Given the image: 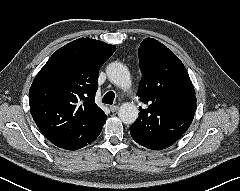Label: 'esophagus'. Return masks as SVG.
<instances>
[{
	"label": "esophagus",
	"mask_w": 240,
	"mask_h": 191,
	"mask_svg": "<svg viewBox=\"0 0 240 191\" xmlns=\"http://www.w3.org/2000/svg\"><path fill=\"white\" fill-rule=\"evenodd\" d=\"M118 109H119V106H118V105H112V106H110L111 112H116Z\"/></svg>",
	"instance_id": "esophagus-1"
}]
</instances>
